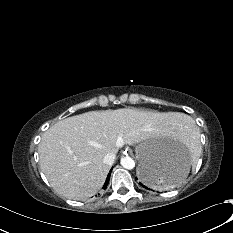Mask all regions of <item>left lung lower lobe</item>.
<instances>
[{
	"mask_svg": "<svg viewBox=\"0 0 233 233\" xmlns=\"http://www.w3.org/2000/svg\"><path fill=\"white\" fill-rule=\"evenodd\" d=\"M179 161H155L148 163L139 176V184L149 189H167L170 184L176 183L181 177ZM137 179V178H136ZM150 183H153L150 185ZM149 187V188H148Z\"/></svg>",
	"mask_w": 233,
	"mask_h": 233,
	"instance_id": "left-lung-lower-lobe-1",
	"label": "left lung lower lobe"
}]
</instances>
